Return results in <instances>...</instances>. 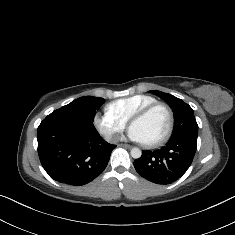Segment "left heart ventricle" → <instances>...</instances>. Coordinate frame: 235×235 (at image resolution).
Returning <instances> with one entry per match:
<instances>
[{
    "label": "left heart ventricle",
    "instance_id": "left-heart-ventricle-1",
    "mask_svg": "<svg viewBox=\"0 0 235 235\" xmlns=\"http://www.w3.org/2000/svg\"><path fill=\"white\" fill-rule=\"evenodd\" d=\"M169 125V118L162 109H157L147 117L133 122L132 126L140 133L143 143H150L162 137Z\"/></svg>",
    "mask_w": 235,
    "mask_h": 235
}]
</instances>
